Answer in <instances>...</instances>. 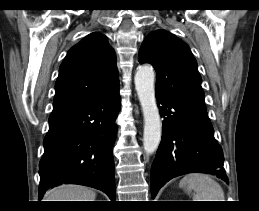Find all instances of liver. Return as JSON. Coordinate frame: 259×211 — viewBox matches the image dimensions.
Segmentation results:
<instances>
[{"label":"liver","instance_id":"obj_1","mask_svg":"<svg viewBox=\"0 0 259 211\" xmlns=\"http://www.w3.org/2000/svg\"><path fill=\"white\" fill-rule=\"evenodd\" d=\"M96 193L87 187L61 185L49 191L45 201H95Z\"/></svg>","mask_w":259,"mask_h":211}]
</instances>
